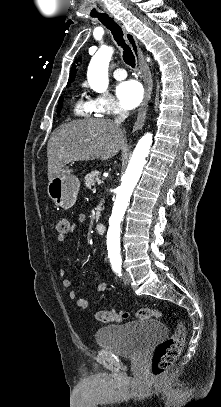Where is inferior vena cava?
<instances>
[{
    "label": "inferior vena cava",
    "mask_w": 221,
    "mask_h": 407,
    "mask_svg": "<svg viewBox=\"0 0 221 407\" xmlns=\"http://www.w3.org/2000/svg\"><path fill=\"white\" fill-rule=\"evenodd\" d=\"M128 115H129V112L126 109L119 107L118 115L115 117L114 123L117 126H120L125 121V119L128 117Z\"/></svg>",
    "instance_id": "obj_1"
}]
</instances>
